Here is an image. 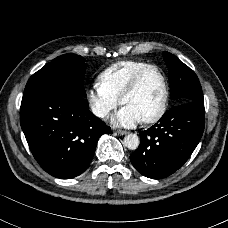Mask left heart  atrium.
Here are the masks:
<instances>
[{
    "instance_id": "1",
    "label": "left heart atrium",
    "mask_w": 228,
    "mask_h": 228,
    "mask_svg": "<svg viewBox=\"0 0 228 228\" xmlns=\"http://www.w3.org/2000/svg\"><path fill=\"white\" fill-rule=\"evenodd\" d=\"M141 120V117L128 106H124L118 114L111 118L112 124L124 127H134L141 122Z\"/></svg>"
}]
</instances>
